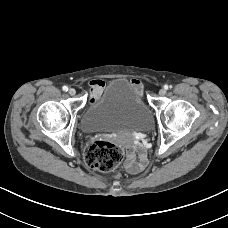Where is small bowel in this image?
I'll return each mask as SVG.
<instances>
[{
	"label": "small bowel",
	"mask_w": 228,
	"mask_h": 228,
	"mask_svg": "<svg viewBox=\"0 0 228 228\" xmlns=\"http://www.w3.org/2000/svg\"><path fill=\"white\" fill-rule=\"evenodd\" d=\"M136 87L141 91L142 86L140 81L132 80ZM91 85V101L94 96L99 93L105 86V83L100 79H95L90 82ZM148 163L147 154L144 150H137L134 147H129L126 156L125 168L129 173L137 174L142 172Z\"/></svg>",
	"instance_id": "obj_1"
}]
</instances>
